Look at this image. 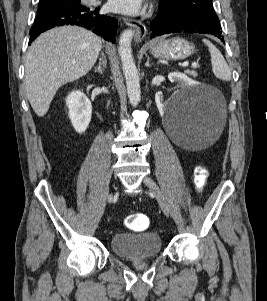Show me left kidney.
I'll list each match as a JSON object with an SVG mask.
<instances>
[{
    "label": "left kidney",
    "mask_w": 267,
    "mask_h": 301,
    "mask_svg": "<svg viewBox=\"0 0 267 301\" xmlns=\"http://www.w3.org/2000/svg\"><path fill=\"white\" fill-rule=\"evenodd\" d=\"M168 79L171 82L177 81L184 85L185 87H190L196 85V82L192 81L190 78H188L185 74L179 73V72H172L168 75ZM156 104L159 108L164 107L163 100L160 97H156Z\"/></svg>",
    "instance_id": "1"
}]
</instances>
